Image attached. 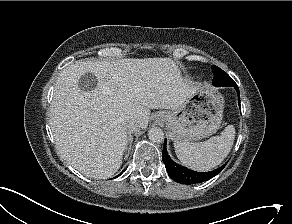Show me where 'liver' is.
Instances as JSON below:
<instances>
[{"mask_svg": "<svg viewBox=\"0 0 292 224\" xmlns=\"http://www.w3.org/2000/svg\"><path fill=\"white\" fill-rule=\"evenodd\" d=\"M86 73L96 77L91 91L79 87ZM198 87L170 58L77 61L54 88L50 125L57 150L85 176L108 178L120 168L128 142L122 122L132 118L145 129L150 109H178Z\"/></svg>", "mask_w": 292, "mask_h": 224, "instance_id": "liver-1", "label": "liver"}]
</instances>
